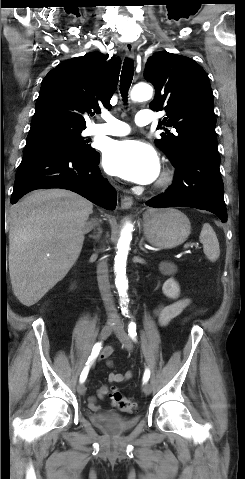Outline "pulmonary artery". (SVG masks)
<instances>
[{"instance_id":"pulmonary-artery-1","label":"pulmonary artery","mask_w":245,"mask_h":479,"mask_svg":"<svg viewBox=\"0 0 245 479\" xmlns=\"http://www.w3.org/2000/svg\"><path fill=\"white\" fill-rule=\"evenodd\" d=\"M104 123L96 124L91 127V134H104L111 136H123L129 133L130 127L125 122H122L111 115L103 117ZM154 120L153 114L150 110H141L135 116V123L139 126H144L152 123Z\"/></svg>"}]
</instances>
